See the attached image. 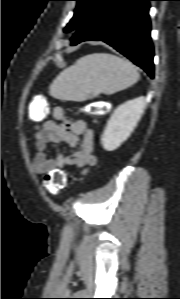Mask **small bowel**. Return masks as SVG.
<instances>
[{"instance_id":"1","label":"small bowel","mask_w":180,"mask_h":299,"mask_svg":"<svg viewBox=\"0 0 180 299\" xmlns=\"http://www.w3.org/2000/svg\"><path fill=\"white\" fill-rule=\"evenodd\" d=\"M31 120L37 124L34 135L37 151L33 159V169L37 174H48L67 165L85 173L97 164L94 133L83 119H71L63 108L57 107L53 118L43 120L32 116ZM62 143L69 146V151L53 156L49 149L57 148Z\"/></svg>"}]
</instances>
